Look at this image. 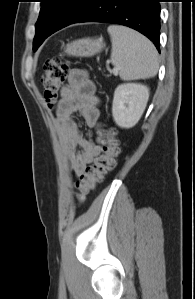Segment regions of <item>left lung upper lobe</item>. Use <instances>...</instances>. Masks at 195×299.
Instances as JSON below:
<instances>
[{"mask_svg": "<svg viewBox=\"0 0 195 299\" xmlns=\"http://www.w3.org/2000/svg\"><path fill=\"white\" fill-rule=\"evenodd\" d=\"M41 10L36 22L33 50L54 32L73 24L83 13L89 0H40Z\"/></svg>", "mask_w": 195, "mask_h": 299, "instance_id": "5c2ea615", "label": "left lung upper lobe"}]
</instances>
